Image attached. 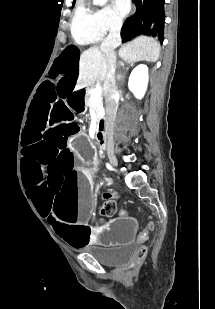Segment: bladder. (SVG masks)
<instances>
[{
  "label": "bladder",
  "instance_id": "bladder-1",
  "mask_svg": "<svg viewBox=\"0 0 215 309\" xmlns=\"http://www.w3.org/2000/svg\"><path fill=\"white\" fill-rule=\"evenodd\" d=\"M134 257L135 246L128 244L115 251L97 255L96 259L103 265L110 267H120L130 263Z\"/></svg>",
  "mask_w": 215,
  "mask_h": 309
}]
</instances>
